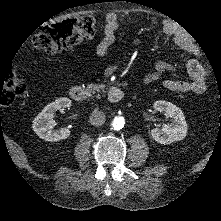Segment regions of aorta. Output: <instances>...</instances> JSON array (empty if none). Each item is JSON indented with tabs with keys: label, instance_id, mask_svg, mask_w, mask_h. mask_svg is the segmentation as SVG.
<instances>
[{
	"label": "aorta",
	"instance_id": "aorta-1",
	"mask_svg": "<svg viewBox=\"0 0 221 221\" xmlns=\"http://www.w3.org/2000/svg\"><path fill=\"white\" fill-rule=\"evenodd\" d=\"M125 125V119L121 116H116L112 122H111V126L112 129L114 130H121Z\"/></svg>",
	"mask_w": 221,
	"mask_h": 221
}]
</instances>
